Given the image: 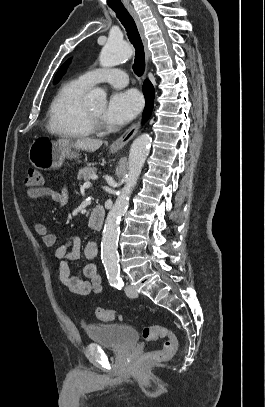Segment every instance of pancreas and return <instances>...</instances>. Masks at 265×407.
I'll use <instances>...</instances> for the list:
<instances>
[{"instance_id": "pancreas-1", "label": "pancreas", "mask_w": 265, "mask_h": 407, "mask_svg": "<svg viewBox=\"0 0 265 407\" xmlns=\"http://www.w3.org/2000/svg\"><path fill=\"white\" fill-rule=\"evenodd\" d=\"M96 171L97 170L94 167L82 168L78 171L77 179L78 180L84 179L85 181H88V180L92 179V177L96 174Z\"/></svg>"}]
</instances>
